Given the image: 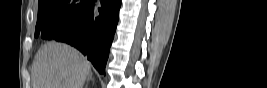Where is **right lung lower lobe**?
I'll return each mask as SVG.
<instances>
[{
  "instance_id": "1",
  "label": "right lung lower lobe",
  "mask_w": 267,
  "mask_h": 88,
  "mask_svg": "<svg viewBox=\"0 0 267 88\" xmlns=\"http://www.w3.org/2000/svg\"><path fill=\"white\" fill-rule=\"evenodd\" d=\"M99 16L94 3L69 27L56 32L51 39L68 43L80 50L100 74L105 66L119 19L121 0H103Z\"/></svg>"
}]
</instances>
